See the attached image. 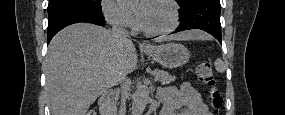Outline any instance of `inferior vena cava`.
I'll return each mask as SVG.
<instances>
[{
  "label": "inferior vena cava",
  "instance_id": "inferior-vena-cava-1",
  "mask_svg": "<svg viewBox=\"0 0 285 115\" xmlns=\"http://www.w3.org/2000/svg\"><path fill=\"white\" fill-rule=\"evenodd\" d=\"M111 34L113 35L115 39L120 40V41H126L128 40V37H129L128 31L123 27L121 23H115L112 26ZM114 80L116 83H120L122 86V90L118 91V94H119L118 103L124 104L125 101H128V94H129V91L126 90V84L128 81L126 71L118 70L115 73ZM117 109H118V115H125V109H122L121 105H118Z\"/></svg>",
  "mask_w": 285,
  "mask_h": 115
}]
</instances>
